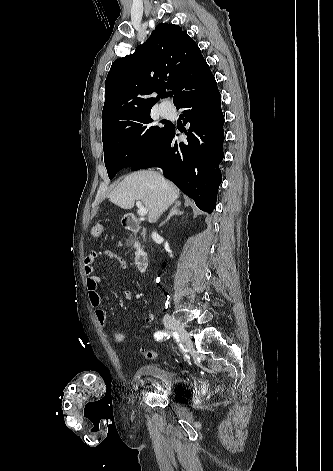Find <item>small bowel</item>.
<instances>
[{"mask_svg":"<svg viewBox=\"0 0 333 471\" xmlns=\"http://www.w3.org/2000/svg\"><path fill=\"white\" fill-rule=\"evenodd\" d=\"M106 258L115 264H117L122 269H127V263L123 257L116 254L111 250H92L90 251L84 259V272L86 275V284L90 305L95 309V317L99 324L103 327L107 325L108 315L106 310L102 309L101 306V296L99 293V283L101 277L95 272L94 264L97 259ZM126 300H131L132 292L130 290L125 291ZM119 320H125L123 317H119ZM145 322L150 324L152 322L151 317H146Z\"/></svg>","mask_w":333,"mask_h":471,"instance_id":"obj_1","label":"small bowel"}]
</instances>
